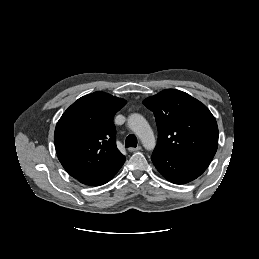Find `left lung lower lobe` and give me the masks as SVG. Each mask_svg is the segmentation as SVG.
I'll return each instance as SVG.
<instances>
[{
	"label": "left lung lower lobe",
	"mask_w": 259,
	"mask_h": 259,
	"mask_svg": "<svg viewBox=\"0 0 259 259\" xmlns=\"http://www.w3.org/2000/svg\"><path fill=\"white\" fill-rule=\"evenodd\" d=\"M152 162L162 176L175 184H184L199 177L211 160L199 158H181L154 149Z\"/></svg>",
	"instance_id": "0a47b994"
}]
</instances>
